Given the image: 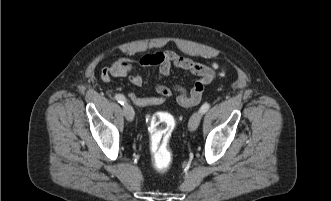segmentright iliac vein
I'll return each mask as SVG.
<instances>
[{
    "label": "right iliac vein",
    "mask_w": 331,
    "mask_h": 201,
    "mask_svg": "<svg viewBox=\"0 0 331 201\" xmlns=\"http://www.w3.org/2000/svg\"><path fill=\"white\" fill-rule=\"evenodd\" d=\"M123 111H124L125 118L130 122L133 121V119H134V110L131 107V105H129L128 103H125L124 106H123Z\"/></svg>",
    "instance_id": "63e3f726"
}]
</instances>
